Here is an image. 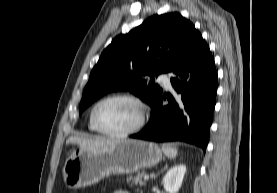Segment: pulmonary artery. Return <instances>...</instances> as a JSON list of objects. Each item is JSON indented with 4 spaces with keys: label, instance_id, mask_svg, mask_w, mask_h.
I'll list each match as a JSON object with an SVG mask.
<instances>
[{
    "label": "pulmonary artery",
    "instance_id": "e3ab8cb5",
    "mask_svg": "<svg viewBox=\"0 0 277 193\" xmlns=\"http://www.w3.org/2000/svg\"><path fill=\"white\" fill-rule=\"evenodd\" d=\"M158 81L164 85L165 88L170 89L171 88V79L170 75L166 73H162L158 76Z\"/></svg>",
    "mask_w": 277,
    "mask_h": 193
}]
</instances>
